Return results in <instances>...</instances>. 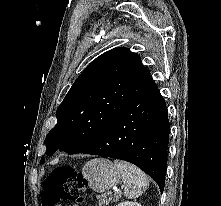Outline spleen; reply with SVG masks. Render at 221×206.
<instances>
[{
    "instance_id": "spleen-1",
    "label": "spleen",
    "mask_w": 221,
    "mask_h": 206,
    "mask_svg": "<svg viewBox=\"0 0 221 206\" xmlns=\"http://www.w3.org/2000/svg\"><path fill=\"white\" fill-rule=\"evenodd\" d=\"M115 166L121 174L125 185L124 195L128 199H135L146 191L149 186L147 176L136 166L125 161L115 160Z\"/></svg>"
}]
</instances>
